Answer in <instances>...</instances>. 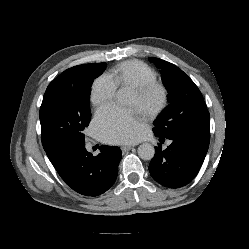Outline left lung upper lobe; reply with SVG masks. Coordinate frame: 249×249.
Segmentation results:
<instances>
[{
  "label": "left lung upper lobe",
  "mask_w": 249,
  "mask_h": 249,
  "mask_svg": "<svg viewBox=\"0 0 249 249\" xmlns=\"http://www.w3.org/2000/svg\"><path fill=\"white\" fill-rule=\"evenodd\" d=\"M161 71L168 107L154 122V134L165 138H210V114L195 83L174 64L149 58Z\"/></svg>",
  "instance_id": "5c2ea615"
}]
</instances>
